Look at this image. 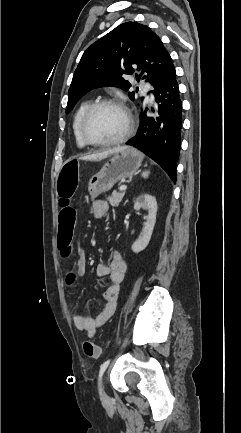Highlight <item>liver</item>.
Segmentation results:
<instances>
[{
	"label": "liver",
	"mask_w": 241,
	"mask_h": 433,
	"mask_svg": "<svg viewBox=\"0 0 241 433\" xmlns=\"http://www.w3.org/2000/svg\"><path fill=\"white\" fill-rule=\"evenodd\" d=\"M126 148L127 147H118V148H115V149L104 151L102 153L87 155V156L81 157V159L82 160H94V161H96V160H102V159L108 157L109 155H111L113 153H117L119 151H122V150H124Z\"/></svg>",
	"instance_id": "obj_1"
}]
</instances>
